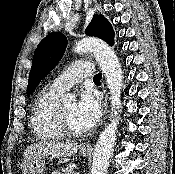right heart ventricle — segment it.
<instances>
[{
  "label": "right heart ventricle",
  "instance_id": "right-heart-ventricle-1",
  "mask_svg": "<svg viewBox=\"0 0 175 174\" xmlns=\"http://www.w3.org/2000/svg\"><path fill=\"white\" fill-rule=\"evenodd\" d=\"M59 96L60 93L46 88L34 101L31 128L35 137L41 141H59L64 138L58 123Z\"/></svg>",
  "mask_w": 175,
  "mask_h": 174
}]
</instances>
